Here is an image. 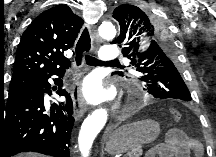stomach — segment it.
Instances as JSON below:
<instances>
[{"label":"stomach","mask_w":216,"mask_h":157,"mask_svg":"<svg viewBox=\"0 0 216 157\" xmlns=\"http://www.w3.org/2000/svg\"><path fill=\"white\" fill-rule=\"evenodd\" d=\"M160 134V125L153 120H145L124 125L115 130L106 141V151L123 154L143 143L155 140Z\"/></svg>","instance_id":"1"}]
</instances>
